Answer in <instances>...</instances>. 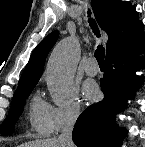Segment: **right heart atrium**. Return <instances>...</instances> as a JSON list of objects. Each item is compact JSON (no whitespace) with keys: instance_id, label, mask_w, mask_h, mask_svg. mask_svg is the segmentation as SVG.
<instances>
[{"instance_id":"obj_1","label":"right heart atrium","mask_w":145,"mask_h":147,"mask_svg":"<svg viewBox=\"0 0 145 147\" xmlns=\"http://www.w3.org/2000/svg\"><path fill=\"white\" fill-rule=\"evenodd\" d=\"M81 112V102L74 91L64 103L48 105L47 119L50 132L57 133L73 125Z\"/></svg>"}]
</instances>
